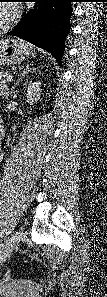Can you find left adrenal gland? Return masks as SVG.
I'll return each instance as SVG.
<instances>
[{"label": "left adrenal gland", "instance_id": "left-adrenal-gland-1", "mask_svg": "<svg viewBox=\"0 0 107 297\" xmlns=\"http://www.w3.org/2000/svg\"><path fill=\"white\" fill-rule=\"evenodd\" d=\"M33 72L36 71L35 68H30L29 65H27L24 70L22 71V73H20L18 80L15 82L14 86H12V92L14 91L15 87L19 84V82L21 81L22 78L25 77V75H27L29 72Z\"/></svg>", "mask_w": 107, "mask_h": 297}]
</instances>
